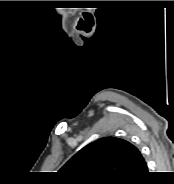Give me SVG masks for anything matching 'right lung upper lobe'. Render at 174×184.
Listing matches in <instances>:
<instances>
[{
  "label": "right lung upper lobe",
  "mask_w": 174,
  "mask_h": 184,
  "mask_svg": "<svg viewBox=\"0 0 174 184\" xmlns=\"http://www.w3.org/2000/svg\"><path fill=\"white\" fill-rule=\"evenodd\" d=\"M147 168L138 149L126 140L104 137L75 154L60 170L69 183H121Z\"/></svg>",
  "instance_id": "cb5924a9"
}]
</instances>
